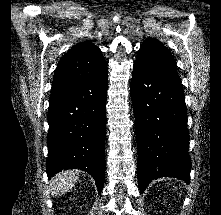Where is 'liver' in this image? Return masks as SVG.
Masks as SVG:
<instances>
[{"label": "liver", "mask_w": 221, "mask_h": 215, "mask_svg": "<svg viewBox=\"0 0 221 215\" xmlns=\"http://www.w3.org/2000/svg\"><path fill=\"white\" fill-rule=\"evenodd\" d=\"M78 170H66L58 173L50 182V191L53 196H61L68 192L79 178Z\"/></svg>", "instance_id": "obj_1"}]
</instances>
